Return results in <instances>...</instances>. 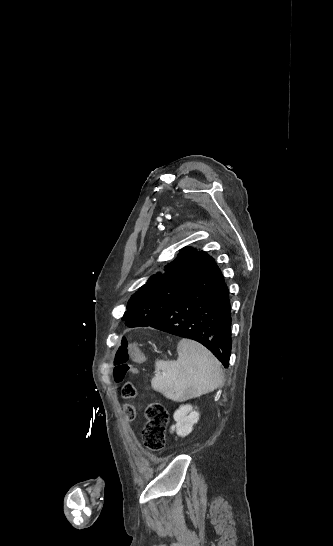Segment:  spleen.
<instances>
[{
  "mask_svg": "<svg viewBox=\"0 0 333 546\" xmlns=\"http://www.w3.org/2000/svg\"><path fill=\"white\" fill-rule=\"evenodd\" d=\"M176 361L156 360L154 390L174 401H185L214 391L223 383L220 362L204 346L182 339Z\"/></svg>",
  "mask_w": 333,
  "mask_h": 546,
  "instance_id": "spleen-1",
  "label": "spleen"
}]
</instances>
